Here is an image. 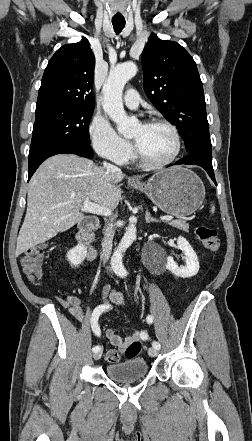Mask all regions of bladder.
<instances>
[{
    "label": "bladder",
    "instance_id": "bladder-1",
    "mask_svg": "<svg viewBox=\"0 0 252 441\" xmlns=\"http://www.w3.org/2000/svg\"><path fill=\"white\" fill-rule=\"evenodd\" d=\"M106 375L113 381L129 383L141 380L148 372V364L142 357L130 358L119 363L108 364Z\"/></svg>",
    "mask_w": 252,
    "mask_h": 441
}]
</instances>
